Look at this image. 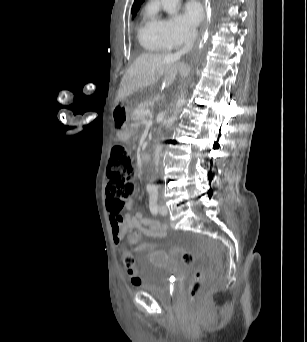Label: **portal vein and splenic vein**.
<instances>
[{
  "label": "portal vein and splenic vein",
  "instance_id": "portal-vein-and-splenic-vein-1",
  "mask_svg": "<svg viewBox=\"0 0 307 342\" xmlns=\"http://www.w3.org/2000/svg\"><path fill=\"white\" fill-rule=\"evenodd\" d=\"M143 114H146V116H148V114H150V110H144Z\"/></svg>",
  "mask_w": 307,
  "mask_h": 342
}]
</instances>
